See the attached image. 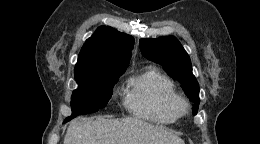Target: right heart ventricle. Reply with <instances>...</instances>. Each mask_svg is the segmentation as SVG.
Listing matches in <instances>:
<instances>
[{
  "label": "right heart ventricle",
  "mask_w": 260,
  "mask_h": 144,
  "mask_svg": "<svg viewBox=\"0 0 260 144\" xmlns=\"http://www.w3.org/2000/svg\"><path fill=\"white\" fill-rule=\"evenodd\" d=\"M179 98L171 79L155 67H147L128 80L125 106L135 117L169 125L179 119L174 110Z\"/></svg>",
  "instance_id": "e07e8e85"
}]
</instances>
